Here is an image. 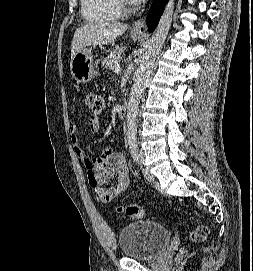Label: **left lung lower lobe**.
Here are the masks:
<instances>
[{
  "instance_id": "0a47b994",
  "label": "left lung lower lobe",
  "mask_w": 253,
  "mask_h": 271,
  "mask_svg": "<svg viewBox=\"0 0 253 271\" xmlns=\"http://www.w3.org/2000/svg\"><path fill=\"white\" fill-rule=\"evenodd\" d=\"M167 1L168 0H154L153 1L150 12L146 19L149 32H152L156 28Z\"/></svg>"
}]
</instances>
